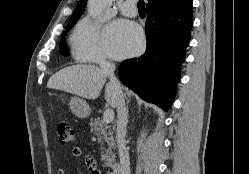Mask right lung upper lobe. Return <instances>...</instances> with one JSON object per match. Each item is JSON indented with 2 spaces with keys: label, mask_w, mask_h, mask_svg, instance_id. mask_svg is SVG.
I'll list each match as a JSON object with an SVG mask.
<instances>
[{
  "label": "right lung upper lobe",
  "mask_w": 249,
  "mask_h": 174,
  "mask_svg": "<svg viewBox=\"0 0 249 174\" xmlns=\"http://www.w3.org/2000/svg\"><path fill=\"white\" fill-rule=\"evenodd\" d=\"M175 0H148V3L146 4L147 9L154 8L161 6L166 3L173 2ZM87 0H80L78 2L77 8L75 9L73 15L71 16L69 22H77L81 14L84 12L85 6H86Z\"/></svg>",
  "instance_id": "1"
}]
</instances>
